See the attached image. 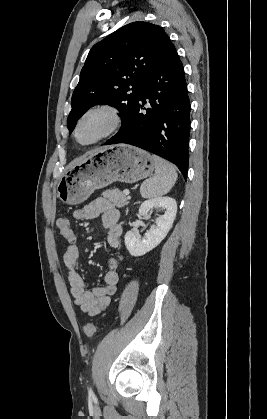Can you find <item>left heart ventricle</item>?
<instances>
[{
    "mask_svg": "<svg viewBox=\"0 0 267 419\" xmlns=\"http://www.w3.org/2000/svg\"><path fill=\"white\" fill-rule=\"evenodd\" d=\"M107 126V119L102 114L88 117L79 129V139L82 142H89L96 138Z\"/></svg>",
    "mask_w": 267,
    "mask_h": 419,
    "instance_id": "obj_1",
    "label": "left heart ventricle"
}]
</instances>
